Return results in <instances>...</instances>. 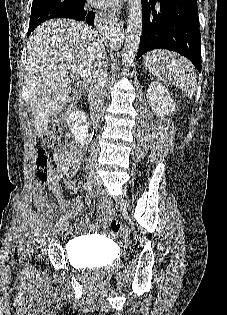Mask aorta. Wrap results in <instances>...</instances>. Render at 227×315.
I'll list each match as a JSON object with an SVG mask.
<instances>
[{
    "instance_id": "1",
    "label": "aorta",
    "mask_w": 227,
    "mask_h": 315,
    "mask_svg": "<svg viewBox=\"0 0 227 315\" xmlns=\"http://www.w3.org/2000/svg\"><path fill=\"white\" fill-rule=\"evenodd\" d=\"M128 4V21L125 36L121 34L118 27L112 22L106 23L104 28V35L110 45L119 47L123 44L122 62L125 65L133 62L142 34L141 0H129Z\"/></svg>"
}]
</instances>
